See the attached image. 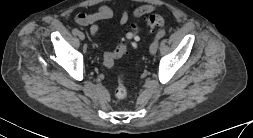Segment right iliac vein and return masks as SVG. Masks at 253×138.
<instances>
[{"label": "right iliac vein", "instance_id": "1", "mask_svg": "<svg viewBox=\"0 0 253 138\" xmlns=\"http://www.w3.org/2000/svg\"><path fill=\"white\" fill-rule=\"evenodd\" d=\"M78 37L80 40H84L85 39V35L82 32L78 33Z\"/></svg>", "mask_w": 253, "mask_h": 138}]
</instances>
